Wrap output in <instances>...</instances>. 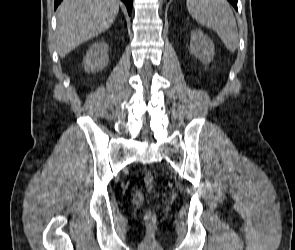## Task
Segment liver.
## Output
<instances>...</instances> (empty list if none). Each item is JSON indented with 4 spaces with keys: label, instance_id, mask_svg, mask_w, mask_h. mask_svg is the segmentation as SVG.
Wrapping results in <instances>:
<instances>
[{
    "label": "liver",
    "instance_id": "1",
    "mask_svg": "<svg viewBox=\"0 0 295 250\" xmlns=\"http://www.w3.org/2000/svg\"><path fill=\"white\" fill-rule=\"evenodd\" d=\"M118 12L117 0H63L57 10L59 56L109 29Z\"/></svg>",
    "mask_w": 295,
    "mask_h": 250
}]
</instances>
